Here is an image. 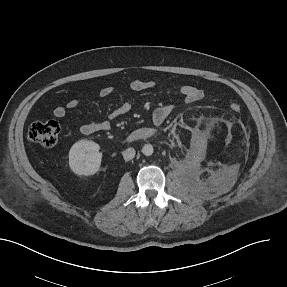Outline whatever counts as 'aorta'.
I'll use <instances>...</instances> for the list:
<instances>
[{"instance_id":"762f6f07","label":"aorta","mask_w":287,"mask_h":287,"mask_svg":"<svg viewBox=\"0 0 287 287\" xmlns=\"http://www.w3.org/2000/svg\"><path fill=\"white\" fill-rule=\"evenodd\" d=\"M153 146L151 144H146L143 146L142 148V153L145 155V156H151L153 154Z\"/></svg>"}]
</instances>
